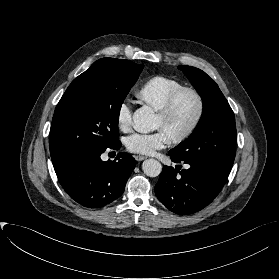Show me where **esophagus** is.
Masks as SVG:
<instances>
[{
  "mask_svg": "<svg viewBox=\"0 0 279 279\" xmlns=\"http://www.w3.org/2000/svg\"><path fill=\"white\" fill-rule=\"evenodd\" d=\"M135 159H136V161H143L146 159V157L142 156V155H135Z\"/></svg>",
  "mask_w": 279,
  "mask_h": 279,
  "instance_id": "1",
  "label": "esophagus"
}]
</instances>
